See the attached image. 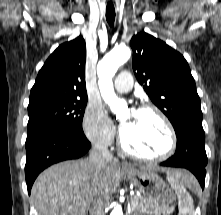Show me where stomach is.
Instances as JSON below:
<instances>
[{
    "label": "stomach",
    "mask_w": 221,
    "mask_h": 215,
    "mask_svg": "<svg viewBox=\"0 0 221 215\" xmlns=\"http://www.w3.org/2000/svg\"><path fill=\"white\" fill-rule=\"evenodd\" d=\"M147 200L159 208H169L175 194L169 185L151 170L131 169L124 171Z\"/></svg>",
    "instance_id": "obj_1"
}]
</instances>
